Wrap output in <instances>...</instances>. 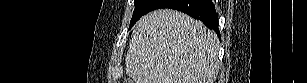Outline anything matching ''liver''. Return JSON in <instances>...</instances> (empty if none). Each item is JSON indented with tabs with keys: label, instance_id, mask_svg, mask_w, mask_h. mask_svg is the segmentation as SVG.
<instances>
[{
	"label": "liver",
	"instance_id": "6515ba94",
	"mask_svg": "<svg viewBox=\"0 0 307 83\" xmlns=\"http://www.w3.org/2000/svg\"><path fill=\"white\" fill-rule=\"evenodd\" d=\"M218 49L217 35L202 22L158 9L137 22L125 71L134 83H214Z\"/></svg>",
	"mask_w": 307,
	"mask_h": 83
}]
</instances>
